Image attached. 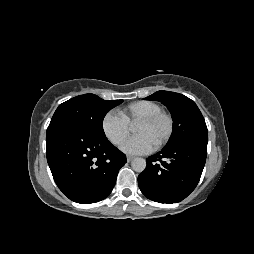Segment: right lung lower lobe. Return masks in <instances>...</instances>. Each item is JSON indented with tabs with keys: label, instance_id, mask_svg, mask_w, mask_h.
Wrapping results in <instances>:
<instances>
[{
	"label": "right lung lower lobe",
	"instance_id": "obj_1",
	"mask_svg": "<svg viewBox=\"0 0 254 254\" xmlns=\"http://www.w3.org/2000/svg\"><path fill=\"white\" fill-rule=\"evenodd\" d=\"M46 146L55 183L69 199L80 204L105 199L126 163L125 154L105 136L69 123L50 124Z\"/></svg>",
	"mask_w": 254,
	"mask_h": 254
}]
</instances>
